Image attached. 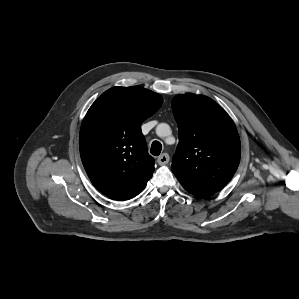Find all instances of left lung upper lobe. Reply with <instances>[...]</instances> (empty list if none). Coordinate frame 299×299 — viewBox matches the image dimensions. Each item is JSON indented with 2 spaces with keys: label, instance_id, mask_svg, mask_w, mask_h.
I'll use <instances>...</instances> for the list:
<instances>
[{
  "label": "left lung upper lobe",
  "instance_id": "1",
  "mask_svg": "<svg viewBox=\"0 0 299 299\" xmlns=\"http://www.w3.org/2000/svg\"><path fill=\"white\" fill-rule=\"evenodd\" d=\"M179 144L171 169L181 185L198 197L221 190L236 172L240 139L232 119L215 101L191 93L172 101Z\"/></svg>",
  "mask_w": 299,
  "mask_h": 299
}]
</instances>
